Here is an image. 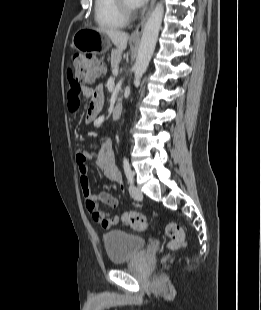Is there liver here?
Masks as SVG:
<instances>
[{"label":"liver","mask_w":261,"mask_h":310,"mask_svg":"<svg viewBox=\"0 0 261 310\" xmlns=\"http://www.w3.org/2000/svg\"><path fill=\"white\" fill-rule=\"evenodd\" d=\"M95 30L105 33L119 51H123L126 49L129 38L127 33L115 29L105 28H97Z\"/></svg>","instance_id":"6515ba94"}]
</instances>
